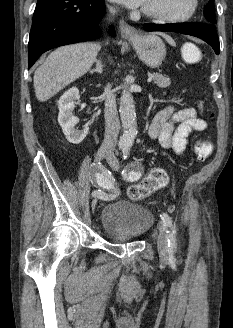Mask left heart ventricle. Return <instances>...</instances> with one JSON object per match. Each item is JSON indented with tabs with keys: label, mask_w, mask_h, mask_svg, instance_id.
<instances>
[{
	"label": "left heart ventricle",
	"mask_w": 233,
	"mask_h": 328,
	"mask_svg": "<svg viewBox=\"0 0 233 328\" xmlns=\"http://www.w3.org/2000/svg\"><path fill=\"white\" fill-rule=\"evenodd\" d=\"M143 8L167 16H181L188 12L190 0H146Z\"/></svg>",
	"instance_id": "left-heart-ventricle-1"
}]
</instances>
